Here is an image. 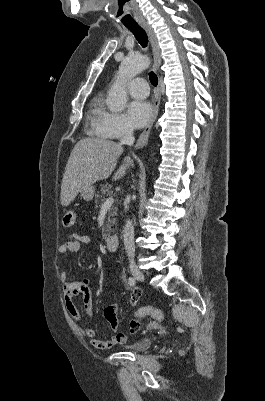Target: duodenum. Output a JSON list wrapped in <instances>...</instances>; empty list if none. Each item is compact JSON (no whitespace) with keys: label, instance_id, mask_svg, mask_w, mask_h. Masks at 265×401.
<instances>
[{"label":"duodenum","instance_id":"1","mask_svg":"<svg viewBox=\"0 0 265 401\" xmlns=\"http://www.w3.org/2000/svg\"><path fill=\"white\" fill-rule=\"evenodd\" d=\"M118 237L116 235H111L106 239V247L109 251L114 252L118 248Z\"/></svg>","mask_w":265,"mask_h":401}]
</instances>
